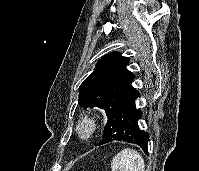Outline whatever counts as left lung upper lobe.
Segmentation results:
<instances>
[{"instance_id": "1", "label": "left lung upper lobe", "mask_w": 199, "mask_h": 171, "mask_svg": "<svg viewBox=\"0 0 199 171\" xmlns=\"http://www.w3.org/2000/svg\"><path fill=\"white\" fill-rule=\"evenodd\" d=\"M128 64L129 59L119 52L104 55L80 85L79 105L102 108L109 117L136 90L131 86L134 74L126 69Z\"/></svg>"}]
</instances>
